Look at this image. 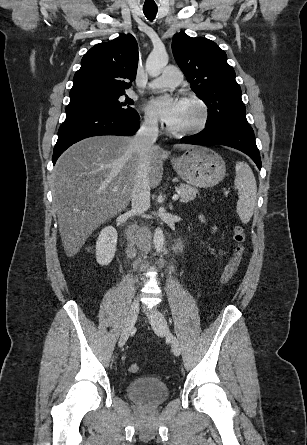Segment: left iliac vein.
Here are the masks:
<instances>
[{
	"label": "left iliac vein",
	"mask_w": 307,
	"mask_h": 445,
	"mask_svg": "<svg viewBox=\"0 0 307 445\" xmlns=\"http://www.w3.org/2000/svg\"><path fill=\"white\" fill-rule=\"evenodd\" d=\"M151 321L152 328L157 335L165 336L168 335L172 351L176 356H179L181 353V347L178 339L174 336L170 330L164 315L158 311L157 309H153L150 313H148Z\"/></svg>",
	"instance_id": "obj_1"
}]
</instances>
